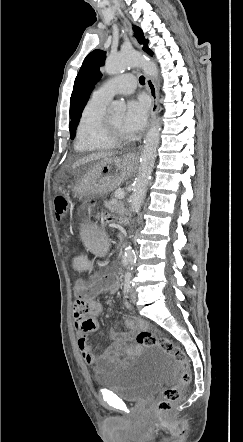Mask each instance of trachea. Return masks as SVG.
<instances>
[{"mask_svg": "<svg viewBox=\"0 0 243 442\" xmlns=\"http://www.w3.org/2000/svg\"><path fill=\"white\" fill-rule=\"evenodd\" d=\"M139 82H140L141 85H144L145 84V77L144 76H140Z\"/></svg>", "mask_w": 243, "mask_h": 442, "instance_id": "3493384b", "label": "trachea"}]
</instances>
